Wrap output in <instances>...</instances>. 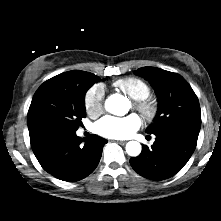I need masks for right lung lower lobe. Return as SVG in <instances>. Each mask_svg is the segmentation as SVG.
Wrapping results in <instances>:
<instances>
[{"mask_svg":"<svg viewBox=\"0 0 221 221\" xmlns=\"http://www.w3.org/2000/svg\"><path fill=\"white\" fill-rule=\"evenodd\" d=\"M106 143V139L95 134L80 138L76 131L58 132L47 135L32 149L46 172L57 179L75 182L95 170Z\"/></svg>","mask_w":221,"mask_h":221,"instance_id":"obj_1","label":"right lung lower lobe"}]
</instances>
